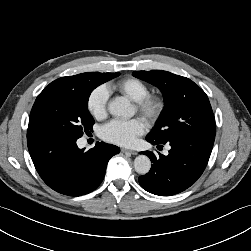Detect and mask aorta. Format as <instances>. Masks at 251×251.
<instances>
[{
  "label": "aorta",
  "instance_id": "aorta-1",
  "mask_svg": "<svg viewBox=\"0 0 251 251\" xmlns=\"http://www.w3.org/2000/svg\"><path fill=\"white\" fill-rule=\"evenodd\" d=\"M108 110L115 117L130 118L134 115V108L129 100L117 97L108 104ZM151 161L146 155H139L134 160V169L138 174L145 175L150 171Z\"/></svg>",
  "mask_w": 251,
  "mask_h": 251
}]
</instances>
